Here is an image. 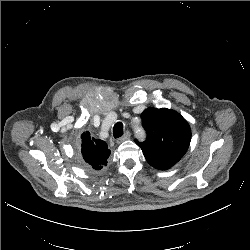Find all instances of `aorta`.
<instances>
[{
	"label": "aorta",
	"instance_id": "obj_1",
	"mask_svg": "<svg viewBox=\"0 0 250 250\" xmlns=\"http://www.w3.org/2000/svg\"><path fill=\"white\" fill-rule=\"evenodd\" d=\"M133 131L137 138L142 139L145 137V131L141 127L133 126Z\"/></svg>",
	"mask_w": 250,
	"mask_h": 250
}]
</instances>
